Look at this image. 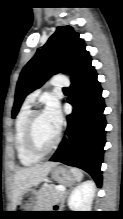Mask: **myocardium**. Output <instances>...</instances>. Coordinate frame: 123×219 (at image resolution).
<instances>
[{
  "mask_svg": "<svg viewBox=\"0 0 123 219\" xmlns=\"http://www.w3.org/2000/svg\"><path fill=\"white\" fill-rule=\"evenodd\" d=\"M43 110H33L28 118L27 124H26V130H25V143L27 150L35 157L37 158H43L50 154L52 151L56 149L58 146L60 140H61V131L58 130L57 136L55 140L52 142V144L46 148L42 149L40 148L35 140V135H34V126H35V121L37 117L43 113Z\"/></svg>",
  "mask_w": 123,
  "mask_h": 219,
  "instance_id": "myocardium-1",
  "label": "myocardium"
}]
</instances>
